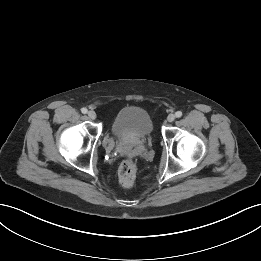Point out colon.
<instances>
[{
  "instance_id": "5ec220e1",
  "label": "colon",
  "mask_w": 261,
  "mask_h": 261,
  "mask_svg": "<svg viewBox=\"0 0 261 261\" xmlns=\"http://www.w3.org/2000/svg\"><path fill=\"white\" fill-rule=\"evenodd\" d=\"M137 175L136 164L132 160L123 161L118 169L119 182L125 186L130 187L135 182Z\"/></svg>"
}]
</instances>
